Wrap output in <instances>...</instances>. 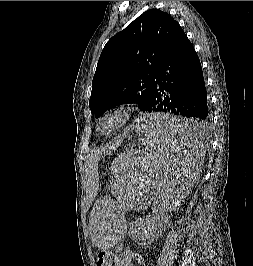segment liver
I'll return each instance as SVG.
<instances>
[{"mask_svg": "<svg viewBox=\"0 0 253 266\" xmlns=\"http://www.w3.org/2000/svg\"><path fill=\"white\" fill-rule=\"evenodd\" d=\"M121 142H122V139H118L104 147H100L96 149L92 154L89 155L88 160H87V166L91 168L93 164L97 163L102 156L106 154H110L113 150H116V148L121 144Z\"/></svg>", "mask_w": 253, "mask_h": 266, "instance_id": "1", "label": "liver"}]
</instances>
